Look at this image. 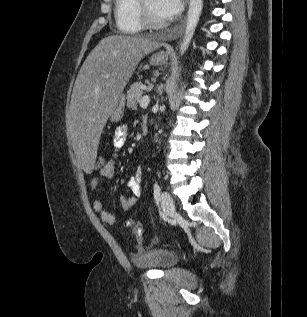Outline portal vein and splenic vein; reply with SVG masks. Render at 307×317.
I'll return each mask as SVG.
<instances>
[{"instance_id": "18ae733b", "label": "portal vein and splenic vein", "mask_w": 307, "mask_h": 317, "mask_svg": "<svg viewBox=\"0 0 307 317\" xmlns=\"http://www.w3.org/2000/svg\"><path fill=\"white\" fill-rule=\"evenodd\" d=\"M149 102H150V97L148 95H145L140 99L139 105L140 107L144 108L148 106Z\"/></svg>"}]
</instances>
